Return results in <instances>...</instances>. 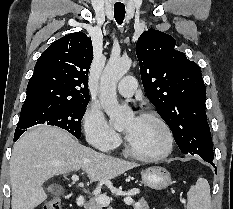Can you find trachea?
Returning a JSON list of instances; mask_svg holds the SVG:
<instances>
[{
	"mask_svg": "<svg viewBox=\"0 0 233 209\" xmlns=\"http://www.w3.org/2000/svg\"><path fill=\"white\" fill-rule=\"evenodd\" d=\"M114 17L116 22L121 25L125 17V6H114Z\"/></svg>",
	"mask_w": 233,
	"mask_h": 209,
	"instance_id": "obj_1",
	"label": "trachea"
}]
</instances>
